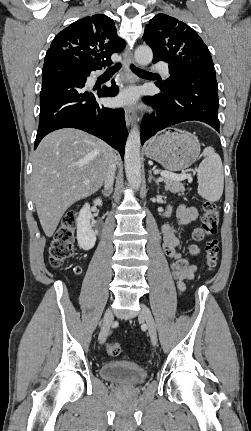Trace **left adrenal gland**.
<instances>
[{
  "label": "left adrenal gland",
  "mask_w": 251,
  "mask_h": 431,
  "mask_svg": "<svg viewBox=\"0 0 251 431\" xmlns=\"http://www.w3.org/2000/svg\"><path fill=\"white\" fill-rule=\"evenodd\" d=\"M152 180H153L157 185H159V182L157 181V179L152 175V171H151V170H149V177H148V181H149V182H151Z\"/></svg>",
  "instance_id": "1"
}]
</instances>
